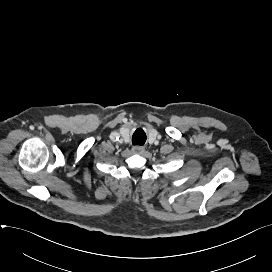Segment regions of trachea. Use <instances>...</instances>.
<instances>
[{
    "mask_svg": "<svg viewBox=\"0 0 272 272\" xmlns=\"http://www.w3.org/2000/svg\"><path fill=\"white\" fill-rule=\"evenodd\" d=\"M146 141V134L143 131H136L132 137L133 145H144Z\"/></svg>",
    "mask_w": 272,
    "mask_h": 272,
    "instance_id": "1",
    "label": "trachea"
}]
</instances>
